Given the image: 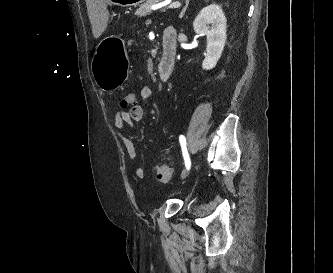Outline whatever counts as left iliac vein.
Masks as SVG:
<instances>
[{
  "mask_svg": "<svg viewBox=\"0 0 333 273\" xmlns=\"http://www.w3.org/2000/svg\"><path fill=\"white\" fill-rule=\"evenodd\" d=\"M187 174H188V171L183 172L182 175H181V178L182 179L185 178L187 176Z\"/></svg>",
  "mask_w": 333,
  "mask_h": 273,
  "instance_id": "obj_1",
  "label": "left iliac vein"
}]
</instances>
